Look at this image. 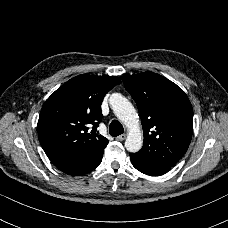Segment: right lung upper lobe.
Segmentation results:
<instances>
[{
  "instance_id": "1",
  "label": "right lung upper lobe",
  "mask_w": 228,
  "mask_h": 228,
  "mask_svg": "<svg viewBox=\"0 0 228 228\" xmlns=\"http://www.w3.org/2000/svg\"><path fill=\"white\" fill-rule=\"evenodd\" d=\"M120 83L117 76L82 74L67 81L45 101L37 132L55 166L76 164L108 144L95 130L103 117L100 106L105 94Z\"/></svg>"
}]
</instances>
